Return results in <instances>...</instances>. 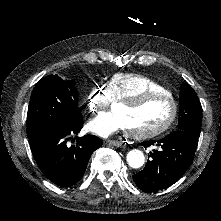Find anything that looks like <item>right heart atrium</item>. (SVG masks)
<instances>
[{
    "mask_svg": "<svg viewBox=\"0 0 221 221\" xmlns=\"http://www.w3.org/2000/svg\"><path fill=\"white\" fill-rule=\"evenodd\" d=\"M93 94H94V96L89 98V101H88L89 103L88 104H89L90 108L94 109V108L98 107V104H99L98 103L99 102L98 99L102 98L104 93H103L102 89L98 88V89L94 90Z\"/></svg>",
    "mask_w": 221,
    "mask_h": 221,
    "instance_id": "right-heart-atrium-1",
    "label": "right heart atrium"
}]
</instances>
